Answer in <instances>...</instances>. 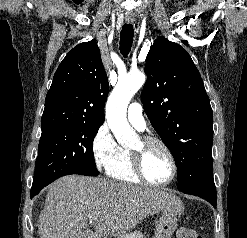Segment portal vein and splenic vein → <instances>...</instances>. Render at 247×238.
Here are the masks:
<instances>
[{"label": "portal vein and splenic vein", "instance_id": "obj_1", "mask_svg": "<svg viewBox=\"0 0 247 238\" xmlns=\"http://www.w3.org/2000/svg\"><path fill=\"white\" fill-rule=\"evenodd\" d=\"M92 222H93V220L91 219V220H90V223H92Z\"/></svg>", "mask_w": 247, "mask_h": 238}]
</instances>
